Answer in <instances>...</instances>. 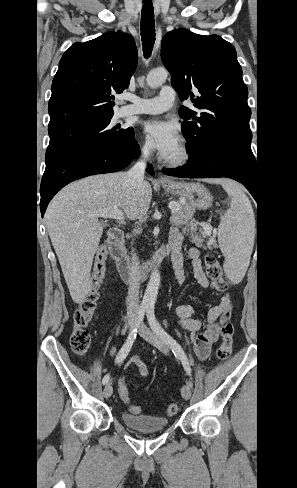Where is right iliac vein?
<instances>
[{
  "label": "right iliac vein",
  "instance_id": "1",
  "mask_svg": "<svg viewBox=\"0 0 297 488\" xmlns=\"http://www.w3.org/2000/svg\"><path fill=\"white\" fill-rule=\"evenodd\" d=\"M135 326V321L134 320H130L128 322V327H129V330H132ZM113 393V388L111 386V384H107L104 388V391H103V395L105 398H109Z\"/></svg>",
  "mask_w": 297,
  "mask_h": 488
}]
</instances>
